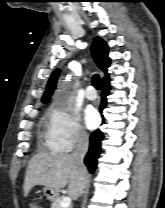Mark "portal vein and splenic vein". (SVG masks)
<instances>
[{
	"label": "portal vein and splenic vein",
	"mask_w": 165,
	"mask_h": 208,
	"mask_svg": "<svg viewBox=\"0 0 165 208\" xmlns=\"http://www.w3.org/2000/svg\"><path fill=\"white\" fill-rule=\"evenodd\" d=\"M71 204V198L70 197H63L60 207L61 208H67Z\"/></svg>",
	"instance_id": "18ae733b"
}]
</instances>
